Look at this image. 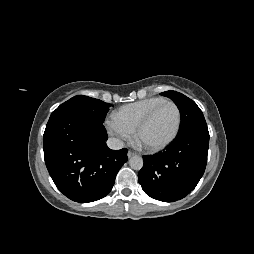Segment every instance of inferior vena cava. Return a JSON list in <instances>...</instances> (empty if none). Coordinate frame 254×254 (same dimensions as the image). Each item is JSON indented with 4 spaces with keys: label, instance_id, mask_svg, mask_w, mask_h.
I'll use <instances>...</instances> for the list:
<instances>
[{
    "label": "inferior vena cava",
    "instance_id": "inferior-vena-cava-1",
    "mask_svg": "<svg viewBox=\"0 0 254 254\" xmlns=\"http://www.w3.org/2000/svg\"><path fill=\"white\" fill-rule=\"evenodd\" d=\"M106 143L107 146L113 150H119L124 147V143L118 138H109Z\"/></svg>",
    "mask_w": 254,
    "mask_h": 254
}]
</instances>
